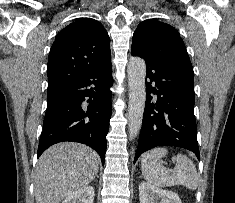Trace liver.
Returning <instances> with one entry per match:
<instances>
[{"instance_id": "obj_1", "label": "liver", "mask_w": 235, "mask_h": 203, "mask_svg": "<svg viewBox=\"0 0 235 203\" xmlns=\"http://www.w3.org/2000/svg\"><path fill=\"white\" fill-rule=\"evenodd\" d=\"M98 168V154L84 144L62 142L51 146L36 166V203H60L92 182Z\"/></svg>"}]
</instances>
